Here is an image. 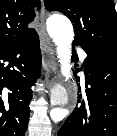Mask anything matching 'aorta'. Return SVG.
Wrapping results in <instances>:
<instances>
[{
	"label": "aorta",
	"instance_id": "obj_1",
	"mask_svg": "<svg viewBox=\"0 0 117 136\" xmlns=\"http://www.w3.org/2000/svg\"><path fill=\"white\" fill-rule=\"evenodd\" d=\"M47 31L56 44L57 57L59 59L61 73L65 81L72 78L71 71V44L74 37L73 26L70 20L61 15L51 16L47 21ZM69 95L62 86H56L51 91V105L60 113L58 118L63 117V109L67 105Z\"/></svg>",
	"mask_w": 117,
	"mask_h": 136
}]
</instances>
